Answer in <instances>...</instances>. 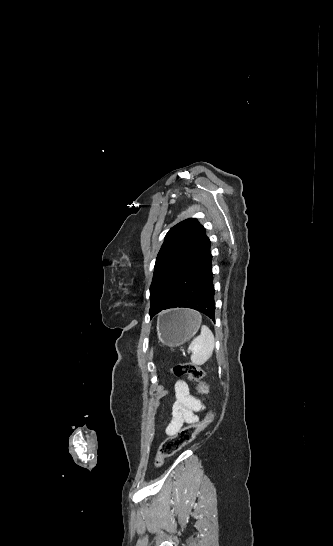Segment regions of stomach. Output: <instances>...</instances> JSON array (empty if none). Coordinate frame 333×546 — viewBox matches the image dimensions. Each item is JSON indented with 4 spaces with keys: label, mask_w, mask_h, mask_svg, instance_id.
<instances>
[{
    "label": "stomach",
    "mask_w": 333,
    "mask_h": 546,
    "mask_svg": "<svg viewBox=\"0 0 333 546\" xmlns=\"http://www.w3.org/2000/svg\"><path fill=\"white\" fill-rule=\"evenodd\" d=\"M201 317L193 310L172 309L157 321V335L161 343L177 347L190 340L199 330Z\"/></svg>",
    "instance_id": "stomach-1"
}]
</instances>
